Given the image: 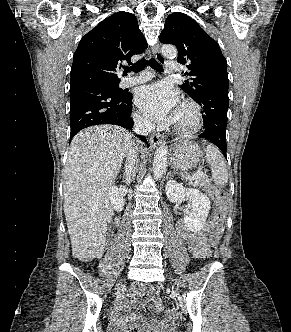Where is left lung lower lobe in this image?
Masks as SVG:
<instances>
[{
    "instance_id": "1",
    "label": "left lung lower lobe",
    "mask_w": 291,
    "mask_h": 332,
    "mask_svg": "<svg viewBox=\"0 0 291 332\" xmlns=\"http://www.w3.org/2000/svg\"><path fill=\"white\" fill-rule=\"evenodd\" d=\"M195 101L204 110L202 117L205 131L199 137L211 141L226 156L228 94L208 93Z\"/></svg>"
}]
</instances>
